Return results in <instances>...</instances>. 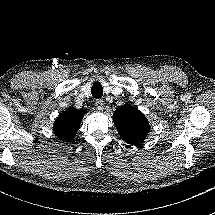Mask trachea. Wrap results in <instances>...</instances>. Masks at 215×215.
Segmentation results:
<instances>
[{
    "label": "trachea",
    "mask_w": 215,
    "mask_h": 215,
    "mask_svg": "<svg viewBox=\"0 0 215 215\" xmlns=\"http://www.w3.org/2000/svg\"><path fill=\"white\" fill-rule=\"evenodd\" d=\"M91 92L94 98H101L103 95V87L99 82H95L91 88Z\"/></svg>",
    "instance_id": "obj_1"
}]
</instances>
